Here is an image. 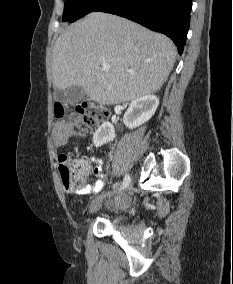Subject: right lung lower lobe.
Instances as JSON below:
<instances>
[{
  "mask_svg": "<svg viewBox=\"0 0 233 284\" xmlns=\"http://www.w3.org/2000/svg\"><path fill=\"white\" fill-rule=\"evenodd\" d=\"M193 0H107L96 10L125 17L170 37L181 55Z\"/></svg>",
  "mask_w": 233,
  "mask_h": 284,
  "instance_id": "obj_1",
  "label": "right lung lower lobe"
}]
</instances>
